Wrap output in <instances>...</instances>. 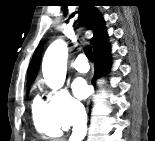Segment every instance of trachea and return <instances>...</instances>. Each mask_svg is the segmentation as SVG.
Segmentation results:
<instances>
[{
	"label": "trachea",
	"instance_id": "1",
	"mask_svg": "<svg viewBox=\"0 0 155 141\" xmlns=\"http://www.w3.org/2000/svg\"><path fill=\"white\" fill-rule=\"evenodd\" d=\"M84 52H85V55L87 56V58L90 61H93L94 60L92 48H91L90 45H88V46L85 47Z\"/></svg>",
	"mask_w": 155,
	"mask_h": 141
}]
</instances>
